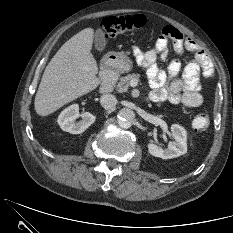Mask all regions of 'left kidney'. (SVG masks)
I'll use <instances>...</instances> for the list:
<instances>
[{"label":"left kidney","instance_id":"left-kidney-1","mask_svg":"<svg viewBox=\"0 0 233 233\" xmlns=\"http://www.w3.org/2000/svg\"><path fill=\"white\" fill-rule=\"evenodd\" d=\"M171 132L174 140L169 142L168 148L163 149L152 142L148 144V150L151 155L162 159H171L184 155L187 152L186 130L178 124H173Z\"/></svg>","mask_w":233,"mask_h":233}]
</instances>
